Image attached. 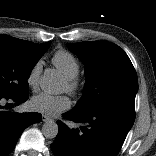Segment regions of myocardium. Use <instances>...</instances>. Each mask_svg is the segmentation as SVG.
I'll use <instances>...</instances> for the list:
<instances>
[{
  "mask_svg": "<svg viewBox=\"0 0 156 156\" xmlns=\"http://www.w3.org/2000/svg\"><path fill=\"white\" fill-rule=\"evenodd\" d=\"M66 91L71 95H77L81 89V80L78 75L74 77H65Z\"/></svg>",
  "mask_w": 156,
  "mask_h": 156,
  "instance_id": "f54148a6",
  "label": "myocardium"
}]
</instances>
